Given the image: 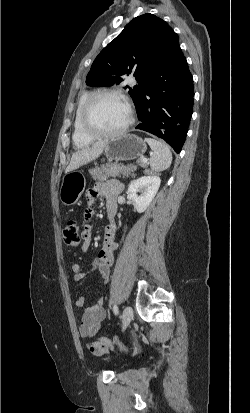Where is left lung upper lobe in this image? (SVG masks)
Here are the masks:
<instances>
[{
	"instance_id": "1",
	"label": "left lung upper lobe",
	"mask_w": 250,
	"mask_h": 413,
	"mask_svg": "<svg viewBox=\"0 0 250 413\" xmlns=\"http://www.w3.org/2000/svg\"><path fill=\"white\" fill-rule=\"evenodd\" d=\"M178 35L161 18L147 13L134 18L96 57L86 77L90 86L120 84L132 74L137 84L129 88L135 101L147 80L160 72L166 45Z\"/></svg>"
}]
</instances>
